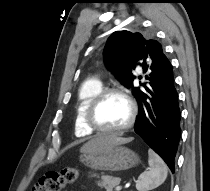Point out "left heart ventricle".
Here are the masks:
<instances>
[{"label":"left heart ventricle","mask_w":210,"mask_h":191,"mask_svg":"<svg viewBox=\"0 0 210 191\" xmlns=\"http://www.w3.org/2000/svg\"><path fill=\"white\" fill-rule=\"evenodd\" d=\"M129 105L119 95H109L103 99L96 111V120L104 128H118L129 119Z\"/></svg>","instance_id":"1"}]
</instances>
